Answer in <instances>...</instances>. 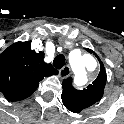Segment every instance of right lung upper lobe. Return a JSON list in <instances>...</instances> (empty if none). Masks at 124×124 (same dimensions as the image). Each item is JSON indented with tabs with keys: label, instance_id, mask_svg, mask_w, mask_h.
Instances as JSON below:
<instances>
[{
	"label": "right lung upper lobe",
	"instance_id": "obj_1",
	"mask_svg": "<svg viewBox=\"0 0 124 124\" xmlns=\"http://www.w3.org/2000/svg\"><path fill=\"white\" fill-rule=\"evenodd\" d=\"M44 53L31 50L30 42H16L0 54V92L10 101L29 97L46 76L57 75Z\"/></svg>",
	"mask_w": 124,
	"mask_h": 124
}]
</instances>
